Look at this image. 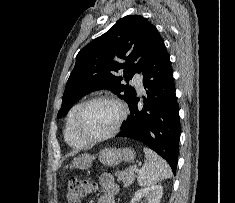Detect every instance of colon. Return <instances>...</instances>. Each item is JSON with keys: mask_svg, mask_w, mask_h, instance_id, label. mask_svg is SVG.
Segmentation results:
<instances>
[{"mask_svg": "<svg viewBox=\"0 0 235 203\" xmlns=\"http://www.w3.org/2000/svg\"><path fill=\"white\" fill-rule=\"evenodd\" d=\"M95 186L92 182L73 177L67 185L66 196L68 203H81L89 193L94 190Z\"/></svg>", "mask_w": 235, "mask_h": 203, "instance_id": "colon-1", "label": "colon"}]
</instances>
